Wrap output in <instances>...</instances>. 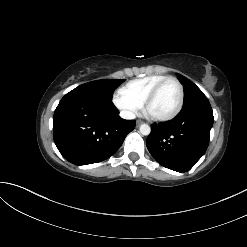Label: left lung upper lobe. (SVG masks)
Masks as SVG:
<instances>
[{
  "instance_id": "5c2ea615",
  "label": "left lung upper lobe",
  "mask_w": 247,
  "mask_h": 247,
  "mask_svg": "<svg viewBox=\"0 0 247 247\" xmlns=\"http://www.w3.org/2000/svg\"><path fill=\"white\" fill-rule=\"evenodd\" d=\"M179 81L184 86V102L183 106L187 105L195 100L206 99L204 93L189 79L182 75H178Z\"/></svg>"
}]
</instances>
